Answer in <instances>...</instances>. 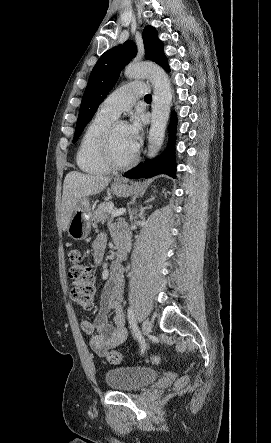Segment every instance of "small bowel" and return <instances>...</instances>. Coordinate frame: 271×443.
<instances>
[{
	"instance_id": "1",
	"label": "small bowel",
	"mask_w": 271,
	"mask_h": 443,
	"mask_svg": "<svg viewBox=\"0 0 271 443\" xmlns=\"http://www.w3.org/2000/svg\"><path fill=\"white\" fill-rule=\"evenodd\" d=\"M106 240L99 236L93 244V259L100 264L104 257ZM122 268L119 263L111 267L110 279L106 284L100 302V308L93 321L84 319L80 326L89 335V344L93 351L105 355L112 348L121 345L127 337L126 321L122 306ZM113 313V323L108 322L109 313Z\"/></svg>"
}]
</instances>
